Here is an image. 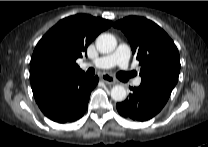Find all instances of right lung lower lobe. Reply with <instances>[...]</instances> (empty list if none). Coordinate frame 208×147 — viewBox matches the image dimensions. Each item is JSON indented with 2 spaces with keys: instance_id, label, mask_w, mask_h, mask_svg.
<instances>
[{
  "instance_id": "right-lung-lower-lobe-1",
  "label": "right lung lower lobe",
  "mask_w": 208,
  "mask_h": 147,
  "mask_svg": "<svg viewBox=\"0 0 208 147\" xmlns=\"http://www.w3.org/2000/svg\"><path fill=\"white\" fill-rule=\"evenodd\" d=\"M97 76L85 73L73 80L34 94L41 111L58 123L73 122L85 113L91 91L97 85Z\"/></svg>"
}]
</instances>
